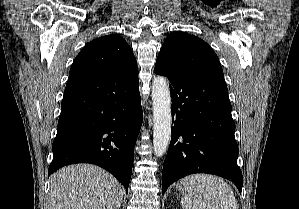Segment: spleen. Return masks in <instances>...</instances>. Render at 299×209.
I'll return each instance as SVG.
<instances>
[{
	"label": "spleen",
	"mask_w": 299,
	"mask_h": 209,
	"mask_svg": "<svg viewBox=\"0 0 299 209\" xmlns=\"http://www.w3.org/2000/svg\"><path fill=\"white\" fill-rule=\"evenodd\" d=\"M180 186L183 190V209H238L230 185L217 176L189 175L181 180Z\"/></svg>",
	"instance_id": "spleen-1"
}]
</instances>
